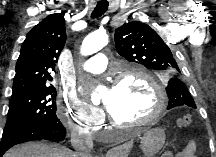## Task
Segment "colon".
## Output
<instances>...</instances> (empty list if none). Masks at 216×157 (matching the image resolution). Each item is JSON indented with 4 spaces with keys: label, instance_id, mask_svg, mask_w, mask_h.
Instances as JSON below:
<instances>
[{
    "label": "colon",
    "instance_id": "1",
    "mask_svg": "<svg viewBox=\"0 0 216 157\" xmlns=\"http://www.w3.org/2000/svg\"><path fill=\"white\" fill-rule=\"evenodd\" d=\"M191 121H192L191 115L190 114H184L177 119V126L179 128L185 129L191 124Z\"/></svg>",
    "mask_w": 216,
    "mask_h": 157
}]
</instances>
